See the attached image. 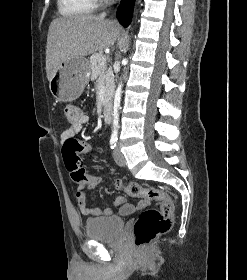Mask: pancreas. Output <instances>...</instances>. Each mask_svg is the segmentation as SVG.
<instances>
[{"label": "pancreas", "mask_w": 247, "mask_h": 280, "mask_svg": "<svg viewBox=\"0 0 247 280\" xmlns=\"http://www.w3.org/2000/svg\"><path fill=\"white\" fill-rule=\"evenodd\" d=\"M106 64V56L103 53H94L90 57V69L92 72V79L101 77L105 84V101L110 97V90L113 81V73L111 69L102 66Z\"/></svg>", "instance_id": "1"}]
</instances>
